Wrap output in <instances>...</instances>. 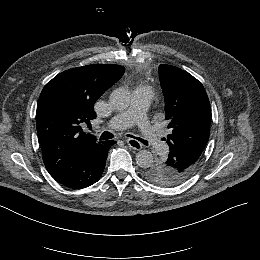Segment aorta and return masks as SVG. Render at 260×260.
Masks as SVG:
<instances>
[{"mask_svg":"<svg viewBox=\"0 0 260 260\" xmlns=\"http://www.w3.org/2000/svg\"><path fill=\"white\" fill-rule=\"evenodd\" d=\"M111 105L118 111L125 110L130 105V92L125 88H117L110 95ZM153 155L148 150H140L136 154V164L148 168L153 164Z\"/></svg>","mask_w":260,"mask_h":260,"instance_id":"762f6f07","label":"aorta"}]
</instances>
